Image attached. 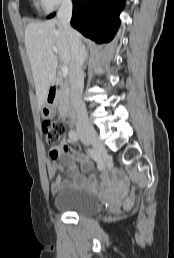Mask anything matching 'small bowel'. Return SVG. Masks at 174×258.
I'll use <instances>...</instances> for the list:
<instances>
[{"mask_svg":"<svg viewBox=\"0 0 174 258\" xmlns=\"http://www.w3.org/2000/svg\"><path fill=\"white\" fill-rule=\"evenodd\" d=\"M54 152H57V157L54 156ZM61 153H63L64 156L59 162L48 163L47 165L48 176L51 180V191L53 193H57L63 185L67 184L57 173L67 166L70 184L98 192V181L94 178L87 180L79 173L77 168V165H80L81 168L86 171L92 170V160L88 156L74 150L66 139L62 140L58 148H52L50 150V156L53 159L60 157ZM99 182L104 187V189L101 191L102 195L112 200L120 198L128 187V180L124 176L118 178L110 171L101 172Z\"/></svg>","mask_w":174,"mask_h":258,"instance_id":"1","label":"small bowel"}]
</instances>
